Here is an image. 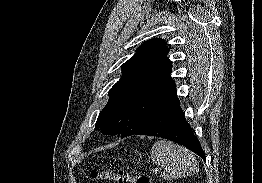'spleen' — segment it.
Masks as SVG:
<instances>
[{"label": "spleen", "mask_w": 262, "mask_h": 183, "mask_svg": "<svg viewBox=\"0 0 262 183\" xmlns=\"http://www.w3.org/2000/svg\"><path fill=\"white\" fill-rule=\"evenodd\" d=\"M151 160L163 169L166 180L178 179L192 175L197 170L193 154L186 148L167 140H158L151 149Z\"/></svg>", "instance_id": "spleen-1"}]
</instances>
